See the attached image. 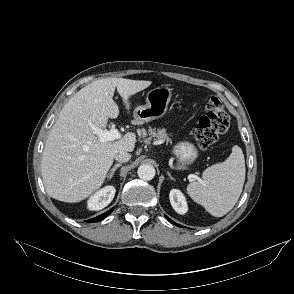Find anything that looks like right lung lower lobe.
<instances>
[{"label": "right lung lower lobe", "instance_id": "right-lung-lower-lobe-1", "mask_svg": "<svg viewBox=\"0 0 294 294\" xmlns=\"http://www.w3.org/2000/svg\"><path fill=\"white\" fill-rule=\"evenodd\" d=\"M113 208L109 211H107L106 213L96 217V218H93V219H90L88 220L87 222H98V221H101L103 220L105 217H107L111 212H112Z\"/></svg>", "mask_w": 294, "mask_h": 294}]
</instances>
